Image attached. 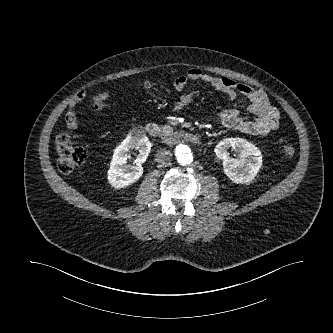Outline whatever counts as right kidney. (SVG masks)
Instances as JSON below:
<instances>
[{
    "label": "right kidney",
    "mask_w": 333,
    "mask_h": 333,
    "mask_svg": "<svg viewBox=\"0 0 333 333\" xmlns=\"http://www.w3.org/2000/svg\"><path fill=\"white\" fill-rule=\"evenodd\" d=\"M136 149L139 154L134 166L126 165L129 150ZM151 142L144 135L128 136L116 147L108 170V181L114 188H125L135 183L143 174L142 163L150 153Z\"/></svg>",
    "instance_id": "1"
}]
</instances>
